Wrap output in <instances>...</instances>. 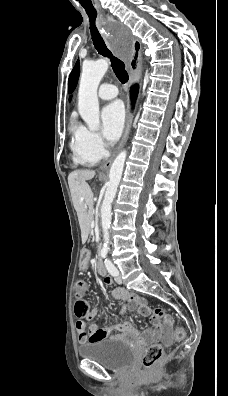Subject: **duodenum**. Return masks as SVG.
Masks as SVG:
<instances>
[{
	"label": "duodenum",
	"mask_w": 228,
	"mask_h": 396,
	"mask_svg": "<svg viewBox=\"0 0 228 396\" xmlns=\"http://www.w3.org/2000/svg\"><path fill=\"white\" fill-rule=\"evenodd\" d=\"M97 270L100 275L107 276L106 266L101 259H98V261H97Z\"/></svg>",
	"instance_id": "1"
}]
</instances>
